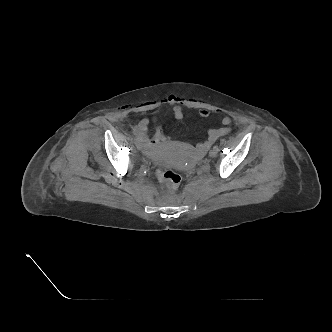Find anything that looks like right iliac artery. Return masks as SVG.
Instances as JSON below:
<instances>
[{
	"label": "right iliac artery",
	"mask_w": 332,
	"mask_h": 332,
	"mask_svg": "<svg viewBox=\"0 0 332 332\" xmlns=\"http://www.w3.org/2000/svg\"><path fill=\"white\" fill-rule=\"evenodd\" d=\"M133 134L136 135V136L141 135L140 131L137 128L133 129Z\"/></svg>",
	"instance_id": "1"
}]
</instances>
